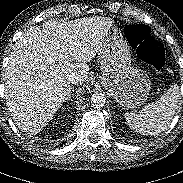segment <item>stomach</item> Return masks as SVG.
Here are the masks:
<instances>
[{"mask_svg": "<svg viewBox=\"0 0 183 183\" xmlns=\"http://www.w3.org/2000/svg\"><path fill=\"white\" fill-rule=\"evenodd\" d=\"M99 57L101 83L115 101L126 109L143 105L151 88L149 76L132 66L130 48L117 26H112L105 35Z\"/></svg>", "mask_w": 183, "mask_h": 183, "instance_id": "stomach-1", "label": "stomach"}]
</instances>
